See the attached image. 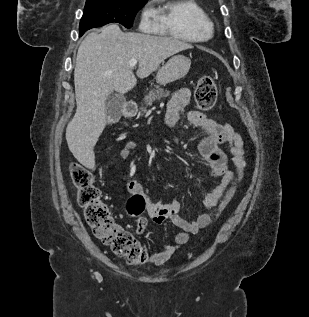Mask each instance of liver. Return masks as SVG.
<instances>
[{
  "mask_svg": "<svg viewBox=\"0 0 309 317\" xmlns=\"http://www.w3.org/2000/svg\"><path fill=\"white\" fill-rule=\"evenodd\" d=\"M192 46L179 39L122 32L116 24L91 32L78 48L74 69L77 109L66 128L69 150L85 167H95L94 147L106 122V102L113 91L125 94L137 79L129 64L138 61L136 75L148 77L168 57Z\"/></svg>",
  "mask_w": 309,
  "mask_h": 317,
  "instance_id": "6515ba94",
  "label": "liver"
}]
</instances>
